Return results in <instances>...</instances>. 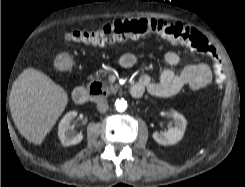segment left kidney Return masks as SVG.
I'll return each instance as SVG.
<instances>
[{
  "mask_svg": "<svg viewBox=\"0 0 245 187\" xmlns=\"http://www.w3.org/2000/svg\"><path fill=\"white\" fill-rule=\"evenodd\" d=\"M165 114L173 119L174 127L165 132H154L152 137L158 144L174 145L183 138L187 122L184 116L174 109L166 111Z\"/></svg>",
  "mask_w": 245,
  "mask_h": 187,
  "instance_id": "5707ae66",
  "label": "left kidney"
}]
</instances>
